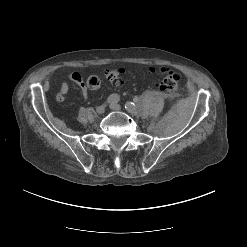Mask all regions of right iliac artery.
<instances>
[{"label": "right iliac artery", "mask_w": 247, "mask_h": 247, "mask_svg": "<svg viewBox=\"0 0 247 247\" xmlns=\"http://www.w3.org/2000/svg\"><path fill=\"white\" fill-rule=\"evenodd\" d=\"M119 100H120V97H119V95H117V94H111V95L107 98V102L110 103V104L118 103Z\"/></svg>", "instance_id": "obj_1"}]
</instances>
